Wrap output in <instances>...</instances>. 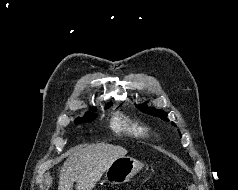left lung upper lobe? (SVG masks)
<instances>
[{"label":"left lung upper lobe","instance_id":"left-lung-upper-lobe-1","mask_svg":"<svg viewBox=\"0 0 238 190\" xmlns=\"http://www.w3.org/2000/svg\"><path fill=\"white\" fill-rule=\"evenodd\" d=\"M137 107L139 109H141L142 111L150 114V115L160 117L164 121H169V119L167 118V113L164 112L163 110H156V109H153V108H148L146 106V104H143V105H140V106H137ZM172 124L175 125L173 122H172Z\"/></svg>","mask_w":238,"mask_h":190}]
</instances>
